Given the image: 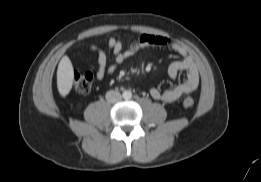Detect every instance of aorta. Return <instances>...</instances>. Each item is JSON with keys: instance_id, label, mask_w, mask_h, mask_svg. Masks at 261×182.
<instances>
[{"instance_id": "aorta-1", "label": "aorta", "mask_w": 261, "mask_h": 182, "mask_svg": "<svg viewBox=\"0 0 261 182\" xmlns=\"http://www.w3.org/2000/svg\"><path fill=\"white\" fill-rule=\"evenodd\" d=\"M132 97V93H131V91H124L123 92V98L124 99H130Z\"/></svg>"}]
</instances>
